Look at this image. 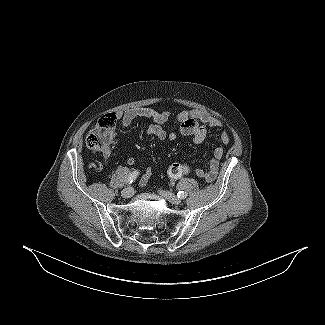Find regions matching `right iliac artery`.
<instances>
[{"instance_id":"82829eb1","label":"right iliac artery","mask_w":325,"mask_h":325,"mask_svg":"<svg viewBox=\"0 0 325 325\" xmlns=\"http://www.w3.org/2000/svg\"><path fill=\"white\" fill-rule=\"evenodd\" d=\"M138 175H139V172L137 170L130 173V175L128 176V178L126 180V184H132V182L135 181V179L138 177Z\"/></svg>"}]
</instances>
